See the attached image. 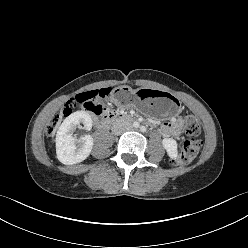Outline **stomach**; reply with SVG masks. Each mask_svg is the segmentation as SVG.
Instances as JSON below:
<instances>
[{"instance_id": "obj_1", "label": "stomach", "mask_w": 248, "mask_h": 248, "mask_svg": "<svg viewBox=\"0 0 248 248\" xmlns=\"http://www.w3.org/2000/svg\"><path fill=\"white\" fill-rule=\"evenodd\" d=\"M114 101L120 107L135 106L138 112L155 119L175 116L180 102L173 95L154 87L133 90L128 86L116 88Z\"/></svg>"}]
</instances>
